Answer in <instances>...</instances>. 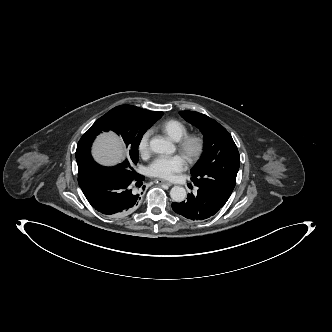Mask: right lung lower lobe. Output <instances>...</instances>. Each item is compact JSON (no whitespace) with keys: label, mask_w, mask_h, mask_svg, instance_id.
Returning <instances> with one entry per match:
<instances>
[{"label":"right lung lower lobe","mask_w":332,"mask_h":332,"mask_svg":"<svg viewBox=\"0 0 332 332\" xmlns=\"http://www.w3.org/2000/svg\"><path fill=\"white\" fill-rule=\"evenodd\" d=\"M143 179L139 174L127 175L120 169L97 163L78 174L79 186L89 203L100 213L112 217L128 215L138 208L143 192L133 191L131 183L137 181V185Z\"/></svg>","instance_id":"1"}]
</instances>
